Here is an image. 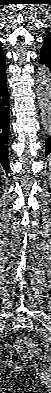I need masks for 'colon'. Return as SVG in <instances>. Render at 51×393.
<instances>
[{
	"instance_id": "colon-1",
	"label": "colon",
	"mask_w": 51,
	"mask_h": 393,
	"mask_svg": "<svg viewBox=\"0 0 51 393\" xmlns=\"http://www.w3.org/2000/svg\"><path fill=\"white\" fill-rule=\"evenodd\" d=\"M14 348L16 353L23 359H31L38 354V349L24 336L19 337L15 341Z\"/></svg>"
}]
</instances>
